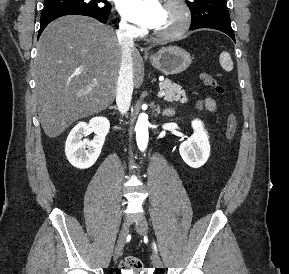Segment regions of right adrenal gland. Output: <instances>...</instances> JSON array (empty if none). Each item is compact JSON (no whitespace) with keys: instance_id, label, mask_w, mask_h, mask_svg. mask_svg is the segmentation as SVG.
I'll use <instances>...</instances> for the list:
<instances>
[{"instance_id":"2a0ac1e0","label":"right adrenal gland","mask_w":289,"mask_h":274,"mask_svg":"<svg viewBox=\"0 0 289 274\" xmlns=\"http://www.w3.org/2000/svg\"><path fill=\"white\" fill-rule=\"evenodd\" d=\"M109 109L117 110V107L116 106H110Z\"/></svg>"}]
</instances>
